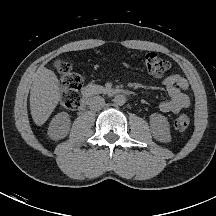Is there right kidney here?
Segmentation results:
<instances>
[{"mask_svg": "<svg viewBox=\"0 0 216 216\" xmlns=\"http://www.w3.org/2000/svg\"><path fill=\"white\" fill-rule=\"evenodd\" d=\"M70 117L66 112H61L55 115L52 119L49 128L48 135L53 140H59L66 137L70 130Z\"/></svg>", "mask_w": 216, "mask_h": 216, "instance_id": "1", "label": "right kidney"}]
</instances>
